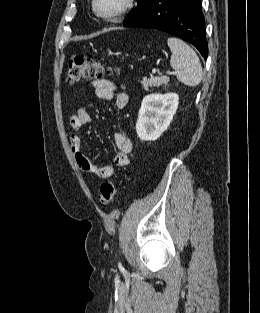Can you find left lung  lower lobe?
I'll list each match as a JSON object with an SVG mask.
<instances>
[{
	"instance_id": "1",
	"label": "left lung lower lobe",
	"mask_w": 260,
	"mask_h": 313,
	"mask_svg": "<svg viewBox=\"0 0 260 313\" xmlns=\"http://www.w3.org/2000/svg\"><path fill=\"white\" fill-rule=\"evenodd\" d=\"M124 27L152 28L173 34L193 44L207 58L201 0H151Z\"/></svg>"
}]
</instances>
